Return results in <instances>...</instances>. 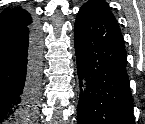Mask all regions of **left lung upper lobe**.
<instances>
[{
    "instance_id": "1",
    "label": "left lung upper lobe",
    "mask_w": 145,
    "mask_h": 124,
    "mask_svg": "<svg viewBox=\"0 0 145 124\" xmlns=\"http://www.w3.org/2000/svg\"><path fill=\"white\" fill-rule=\"evenodd\" d=\"M83 6H91L99 9L100 11L108 14L111 17H114L113 14L109 10L108 4L104 0H90L85 3Z\"/></svg>"
}]
</instances>
